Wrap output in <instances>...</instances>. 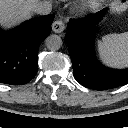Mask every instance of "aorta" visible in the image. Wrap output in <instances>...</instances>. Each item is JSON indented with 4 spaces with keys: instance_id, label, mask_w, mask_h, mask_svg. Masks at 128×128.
Here are the masks:
<instances>
[{
    "instance_id": "aorta-1",
    "label": "aorta",
    "mask_w": 128,
    "mask_h": 128,
    "mask_svg": "<svg viewBox=\"0 0 128 128\" xmlns=\"http://www.w3.org/2000/svg\"><path fill=\"white\" fill-rule=\"evenodd\" d=\"M45 44L50 51H57L62 46V39L60 36L52 34L46 38Z\"/></svg>"
}]
</instances>
